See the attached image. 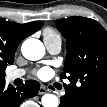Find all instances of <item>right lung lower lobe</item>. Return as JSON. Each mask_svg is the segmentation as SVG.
<instances>
[{
	"label": "right lung lower lobe",
	"mask_w": 107,
	"mask_h": 107,
	"mask_svg": "<svg viewBox=\"0 0 107 107\" xmlns=\"http://www.w3.org/2000/svg\"><path fill=\"white\" fill-rule=\"evenodd\" d=\"M39 88L35 80H28L16 89L12 85L5 88V80L0 81V107H19L24 99L36 96Z\"/></svg>",
	"instance_id": "right-lung-lower-lobe-1"
}]
</instances>
